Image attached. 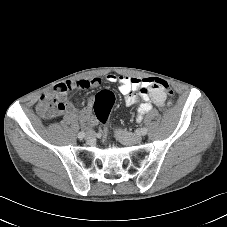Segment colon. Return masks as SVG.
Listing matches in <instances>:
<instances>
[{
	"instance_id": "1",
	"label": "colon",
	"mask_w": 227,
	"mask_h": 227,
	"mask_svg": "<svg viewBox=\"0 0 227 227\" xmlns=\"http://www.w3.org/2000/svg\"><path fill=\"white\" fill-rule=\"evenodd\" d=\"M157 83L169 94L172 93L169 85L163 80H157ZM115 96L109 90L100 91L94 99V112L101 122H105L114 105Z\"/></svg>"
}]
</instances>
